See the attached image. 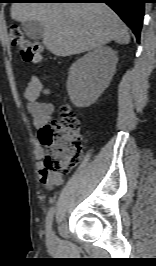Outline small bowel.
I'll return each instance as SVG.
<instances>
[{"label": "small bowel", "mask_w": 156, "mask_h": 266, "mask_svg": "<svg viewBox=\"0 0 156 266\" xmlns=\"http://www.w3.org/2000/svg\"><path fill=\"white\" fill-rule=\"evenodd\" d=\"M45 90L39 79L33 77L26 89V96L28 99L27 110L33 118V125L36 129H42L53 118L54 106L51 103L40 102L38 97L44 93ZM35 146L34 154L38 160H41L44 155V149L41 147L36 136L33 137ZM39 179L41 183L49 190L62 184L63 179L61 175L48 173L39 161L37 163Z\"/></svg>", "instance_id": "c3829d8e"}]
</instances>
